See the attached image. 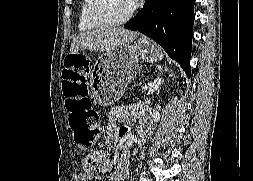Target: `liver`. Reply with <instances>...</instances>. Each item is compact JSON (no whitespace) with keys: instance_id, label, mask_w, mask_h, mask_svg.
Wrapping results in <instances>:
<instances>
[{"instance_id":"1","label":"liver","mask_w":253,"mask_h":181,"mask_svg":"<svg viewBox=\"0 0 253 181\" xmlns=\"http://www.w3.org/2000/svg\"><path fill=\"white\" fill-rule=\"evenodd\" d=\"M139 35L138 32L124 28H99L79 33L74 37L70 54L80 50L105 52L122 44H130Z\"/></svg>"}]
</instances>
